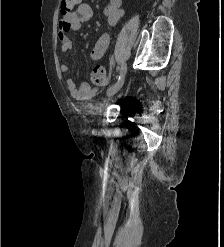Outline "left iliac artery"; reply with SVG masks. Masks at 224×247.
<instances>
[{"mask_svg": "<svg viewBox=\"0 0 224 247\" xmlns=\"http://www.w3.org/2000/svg\"><path fill=\"white\" fill-rule=\"evenodd\" d=\"M126 71H127V66H126L125 63H123L122 66H121V69H120V73H119V75L117 77L118 80L125 76Z\"/></svg>", "mask_w": 224, "mask_h": 247, "instance_id": "left-iliac-artery-1", "label": "left iliac artery"}]
</instances>
